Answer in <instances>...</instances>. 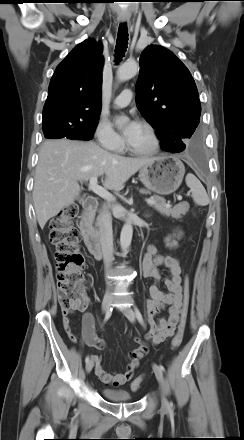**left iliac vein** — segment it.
Segmentation results:
<instances>
[{
  "label": "left iliac vein",
  "mask_w": 244,
  "mask_h": 440,
  "mask_svg": "<svg viewBox=\"0 0 244 440\" xmlns=\"http://www.w3.org/2000/svg\"><path fill=\"white\" fill-rule=\"evenodd\" d=\"M124 315L127 317V319L130 322H135L136 319V315L133 311V309L131 307H126L122 309ZM153 371L155 373V376L160 384L161 387V392H162V408H168L169 403L166 399V395H165V382H164V377H163V373L162 371L159 369V367L157 365H153Z\"/></svg>",
  "instance_id": "obj_1"
}]
</instances>
